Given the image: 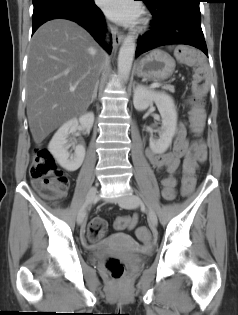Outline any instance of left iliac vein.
I'll use <instances>...</instances> for the list:
<instances>
[{
    "label": "left iliac vein",
    "mask_w": 238,
    "mask_h": 315,
    "mask_svg": "<svg viewBox=\"0 0 238 315\" xmlns=\"http://www.w3.org/2000/svg\"><path fill=\"white\" fill-rule=\"evenodd\" d=\"M140 202V198L132 193H128L118 200V204L123 208H136ZM147 214L150 226L156 227L158 224L156 213L150 207H147Z\"/></svg>",
    "instance_id": "left-iliac-vein-1"
}]
</instances>
